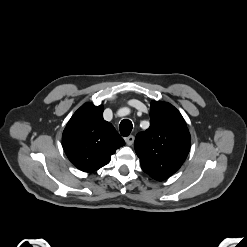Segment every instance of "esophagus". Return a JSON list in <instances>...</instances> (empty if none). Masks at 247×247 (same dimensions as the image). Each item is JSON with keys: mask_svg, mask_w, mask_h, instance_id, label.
I'll return each mask as SVG.
<instances>
[{"mask_svg": "<svg viewBox=\"0 0 247 247\" xmlns=\"http://www.w3.org/2000/svg\"><path fill=\"white\" fill-rule=\"evenodd\" d=\"M134 136L133 135H129L128 137L125 138V142L127 145L131 146L134 143Z\"/></svg>", "mask_w": 247, "mask_h": 247, "instance_id": "34e87169", "label": "esophagus"}]
</instances>
